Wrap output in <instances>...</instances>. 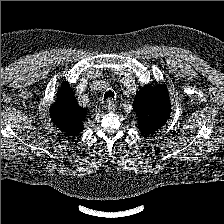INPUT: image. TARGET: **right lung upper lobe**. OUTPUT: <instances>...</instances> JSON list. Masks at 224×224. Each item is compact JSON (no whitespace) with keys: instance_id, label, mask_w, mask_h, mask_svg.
Returning <instances> with one entry per match:
<instances>
[{"instance_id":"obj_1","label":"right lung upper lobe","mask_w":224,"mask_h":224,"mask_svg":"<svg viewBox=\"0 0 224 224\" xmlns=\"http://www.w3.org/2000/svg\"><path fill=\"white\" fill-rule=\"evenodd\" d=\"M70 84L62 85L57 93V101L52 105L50 115L54 125L65 135L77 136L83 129L87 109L77 103Z\"/></svg>"}]
</instances>
